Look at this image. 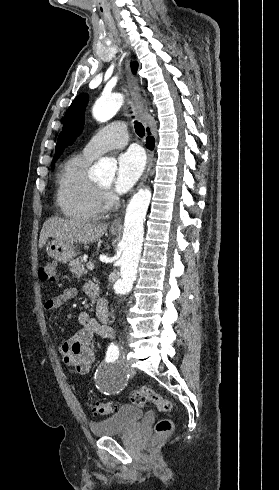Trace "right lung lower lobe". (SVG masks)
<instances>
[{
  "mask_svg": "<svg viewBox=\"0 0 279 490\" xmlns=\"http://www.w3.org/2000/svg\"><path fill=\"white\" fill-rule=\"evenodd\" d=\"M146 141H147V143H146L147 148L153 149V147H154V138L153 137H147L146 138Z\"/></svg>",
  "mask_w": 279,
  "mask_h": 490,
  "instance_id": "98d812e1",
  "label": "right lung lower lobe"
}]
</instances>
